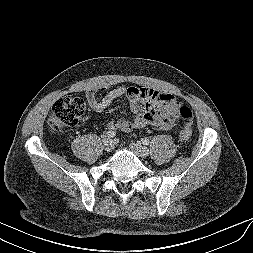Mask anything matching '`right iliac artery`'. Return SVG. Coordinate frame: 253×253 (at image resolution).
I'll return each instance as SVG.
<instances>
[{"label": "right iliac artery", "instance_id": "obj_1", "mask_svg": "<svg viewBox=\"0 0 253 253\" xmlns=\"http://www.w3.org/2000/svg\"><path fill=\"white\" fill-rule=\"evenodd\" d=\"M115 135H116V132H115V131H108V132L106 133V137H107L108 139L115 137Z\"/></svg>", "mask_w": 253, "mask_h": 253}]
</instances>
